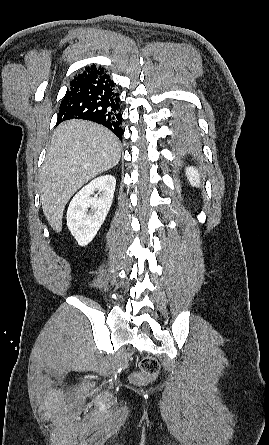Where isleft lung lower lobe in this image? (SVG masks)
<instances>
[{"label": "left lung lower lobe", "mask_w": 269, "mask_h": 445, "mask_svg": "<svg viewBox=\"0 0 269 445\" xmlns=\"http://www.w3.org/2000/svg\"><path fill=\"white\" fill-rule=\"evenodd\" d=\"M175 131L178 141L189 144L196 142V125L192 115L180 110L175 115Z\"/></svg>", "instance_id": "0a47b994"}]
</instances>
